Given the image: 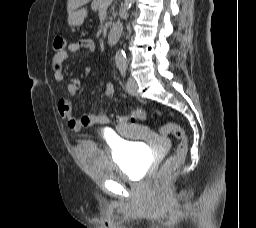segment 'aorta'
Here are the masks:
<instances>
[{"instance_id":"1","label":"aorta","mask_w":256,"mask_h":228,"mask_svg":"<svg viewBox=\"0 0 256 228\" xmlns=\"http://www.w3.org/2000/svg\"><path fill=\"white\" fill-rule=\"evenodd\" d=\"M135 2V0H124V5L125 6H130ZM115 62L117 66H122V65H126V55L125 52L121 49H119L116 52L115 55Z\"/></svg>"}]
</instances>
